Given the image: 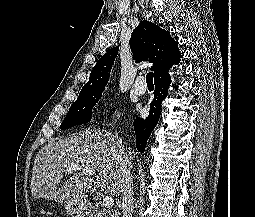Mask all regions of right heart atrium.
<instances>
[{
	"label": "right heart atrium",
	"instance_id": "d8ad5b80",
	"mask_svg": "<svg viewBox=\"0 0 255 217\" xmlns=\"http://www.w3.org/2000/svg\"><path fill=\"white\" fill-rule=\"evenodd\" d=\"M118 108L116 105H109L103 111V120L106 123H113L116 120Z\"/></svg>",
	"mask_w": 255,
	"mask_h": 217
}]
</instances>
